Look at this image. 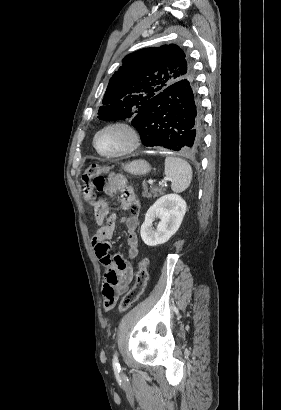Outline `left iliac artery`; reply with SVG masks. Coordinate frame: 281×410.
<instances>
[{
    "instance_id": "left-iliac-artery-1",
    "label": "left iliac artery",
    "mask_w": 281,
    "mask_h": 410,
    "mask_svg": "<svg viewBox=\"0 0 281 410\" xmlns=\"http://www.w3.org/2000/svg\"><path fill=\"white\" fill-rule=\"evenodd\" d=\"M113 367L114 369H118V370L120 369V364L118 362V356L116 352L113 355Z\"/></svg>"
}]
</instances>
